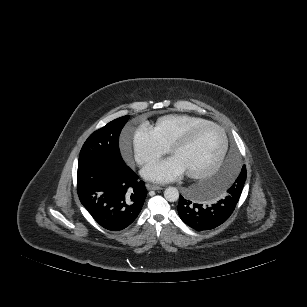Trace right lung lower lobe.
<instances>
[{
  "mask_svg": "<svg viewBox=\"0 0 307 307\" xmlns=\"http://www.w3.org/2000/svg\"><path fill=\"white\" fill-rule=\"evenodd\" d=\"M77 193L97 223L108 230L119 231L136 219L147 190L125 162L93 160L78 164Z\"/></svg>",
  "mask_w": 307,
  "mask_h": 307,
  "instance_id": "right-lung-lower-lobe-1",
  "label": "right lung lower lobe"
}]
</instances>
